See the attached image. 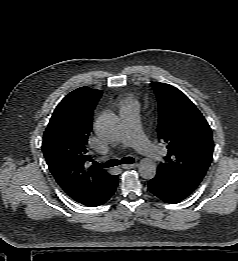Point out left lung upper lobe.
<instances>
[{"label":"left lung upper lobe","instance_id":"1","mask_svg":"<svg viewBox=\"0 0 238 261\" xmlns=\"http://www.w3.org/2000/svg\"><path fill=\"white\" fill-rule=\"evenodd\" d=\"M151 85L158 103V136L168 150L157 171L194 191L212 161L210 126L180 90L160 82Z\"/></svg>","mask_w":238,"mask_h":261}]
</instances>
